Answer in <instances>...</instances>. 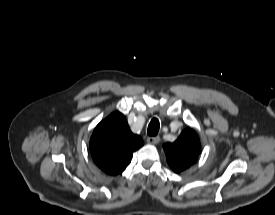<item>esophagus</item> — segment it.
<instances>
[{"mask_svg":"<svg viewBox=\"0 0 275 215\" xmlns=\"http://www.w3.org/2000/svg\"><path fill=\"white\" fill-rule=\"evenodd\" d=\"M159 141H160V137H159V136H153V137H148V138H147V142H148L149 144H152V145L158 144Z\"/></svg>","mask_w":275,"mask_h":215,"instance_id":"34e87169","label":"esophagus"}]
</instances>
